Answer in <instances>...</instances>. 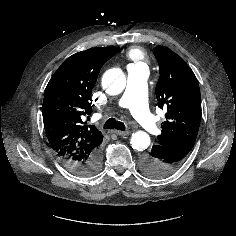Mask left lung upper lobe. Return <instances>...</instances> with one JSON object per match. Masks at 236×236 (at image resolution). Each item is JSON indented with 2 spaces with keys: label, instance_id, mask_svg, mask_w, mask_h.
Listing matches in <instances>:
<instances>
[{
  "label": "left lung upper lobe",
  "instance_id": "obj_1",
  "mask_svg": "<svg viewBox=\"0 0 236 236\" xmlns=\"http://www.w3.org/2000/svg\"><path fill=\"white\" fill-rule=\"evenodd\" d=\"M154 54L160 69L158 107L167 110L157 144H194L201 119L198 81L186 62L167 47L157 46Z\"/></svg>",
  "mask_w": 236,
  "mask_h": 236
}]
</instances>
